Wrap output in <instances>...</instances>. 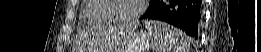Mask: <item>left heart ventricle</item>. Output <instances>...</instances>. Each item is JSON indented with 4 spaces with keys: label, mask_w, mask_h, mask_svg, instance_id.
<instances>
[{
    "label": "left heart ventricle",
    "mask_w": 261,
    "mask_h": 52,
    "mask_svg": "<svg viewBox=\"0 0 261 52\" xmlns=\"http://www.w3.org/2000/svg\"><path fill=\"white\" fill-rule=\"evenodd\" d=\"M139 2L140 0H112V17L127 18L138 9Z\"/></svg>",
    "instance_id": "left-heart-ventricle-1"
}]
</instances>
